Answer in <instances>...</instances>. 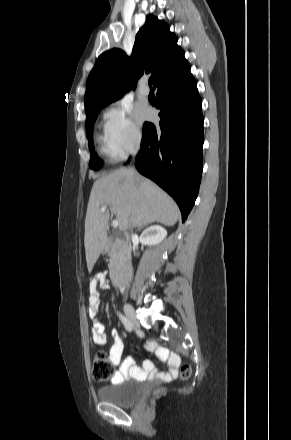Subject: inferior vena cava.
I'll return each instance as SVG.
<instances>
[{
    "instance_id": "inferior-vena-cava-1",
    "label": "inferior vena cava",
    "mask_w": 291,
    "mask_h": 440,
    "mask_svg": "<svg viewBox=\"0 0 291 440\" xmlns=\"http://www.w3.org/2000/svg\"><path fill=\"white\" fill-rule=\"evenodd\" d=\"M137 152H138V148H136V149L133 151V155H136Z\"/></svg>"
}]
</instances>
